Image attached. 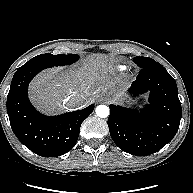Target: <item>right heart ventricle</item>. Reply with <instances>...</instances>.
<instances>
[{"instance_id": "right-heart-ventricle-1", "label": "right heart ventricle", "mask_w": 193, "mask_h": 193, "mask_svg": "<svg viewBox=\"0 0 193 193\" xmlns=\"http://www.w3.org/2000/svg\"><path fill=\"white\" fill-rule=\"evenodd\" d=\"M125 69V67L124 66H120V70H124Z\"/></svg>"}]
</instances>
